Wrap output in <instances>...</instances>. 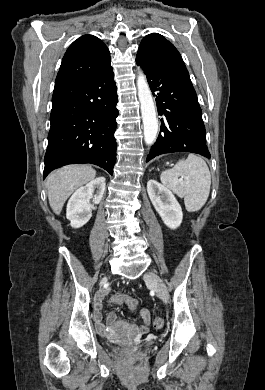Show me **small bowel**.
I'll return each mask as SVG.
<instances>
[{
	"label": "small bowel",
	"mask_w": 265,
	"mask_h": 390,
	"mask_svg": "<svg viewBox=\"0 0 265 390\" xmlns=\"http://www.w3.org/2000/svg\"><path fill=\"white\" fill-rule=\"evenodd\" d=\"M101 309H102V303H101V299L99 298L95 302V318H96V321L98 323V326L100 328H103V325L101 324V319H102ZM139 317L143 321V324L140 325L137 328H134V329L138 330L140 333H146L148 331V327H149V324H150V313H149V310L147 308H145V307L141 308L139 310ZM108 320L112 324L116 323L117 317H116L115 313H110L109 316H108Z\"/></svg>",
	"instance_id": "1"
}]
</instances>
